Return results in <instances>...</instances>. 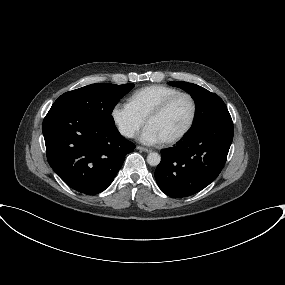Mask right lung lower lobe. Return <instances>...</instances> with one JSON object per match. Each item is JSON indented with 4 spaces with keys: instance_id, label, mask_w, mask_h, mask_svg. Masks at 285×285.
<instances>
[{
    "instance_id": "obj_1",
    "label": "right lung lower lobe",
    "mask_w": 285,
    "mask_h": 285,
    "mask_svg": "<svg viewBox=\"0 0 285 285\" xmlns=\"http://www.w3.org/2000/svg\"><path fill=\"white\" fill-rule=\"evenodd\" d=\"M43 135L51 168L69 187L88 195L104 191L135 148L115 126L64 106L51 107Z\"/></svg>"
}]
</instances>
